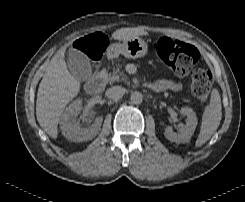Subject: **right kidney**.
<instances>
[{
	"instance_id": "obj_1",
	"label": "right kidney",
	"mask_w": 245,
	"mask_h": 202,
	"mask_svg": "<svg viewBox=\"0 0 245 202\" xmlns=\"http://www.w3.org/2000/svg\"><path fill=\"white\" fill-rule=\"evenodd\" d=\"M82 102L80 99L73 101L64 111L60 118V129L62 134L70 141L83 142L93 139L101 130L103 118L97 117L95 122L87 127H81L77 116L81 110Z\"/></svg>"
}]
</instances>
